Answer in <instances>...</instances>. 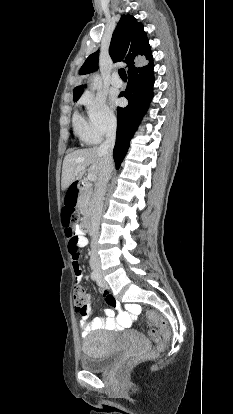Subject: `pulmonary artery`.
<instances>
[{
	"label": "pulmonary artery",
	"mask_w": 233,
	"mask_h": 414,
	"mask_svg": "<svg viewBox=\"0 0 233 414\" xmlns=\"http://www.w3.org/2000/svg\"><path fill=\"white\" fill-rule=\"evenodd\" d=\"M111 84L115 87H121L123 85L122 80L119 78L117 73H114L112 79H111Z\"/></svg>",
	"instance_id": "obj_1"
}]
</instances>
